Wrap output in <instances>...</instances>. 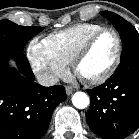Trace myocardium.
I'll return each mask as SVG.
<instances>
[{
  "mask_svg": "<svg viewBox=\"0 0 139 139\" xmlns=\"http://www.w3.org/2000/svg\"><path fill=\"white\" fill-rule=\"evenodd\" d=\"M110 32L114 35L116 39V53L114 56V59L109 66V68L100 76L86 79L80 76L78 72V66L81 62V60L86 56V54L90 51L95 41L104 33ZM122 52H123V43L120 34L117 30H115L112 27H102L101 29L94 32L92 35H90L86 41L81 45V47L78 49L76 54L73 57L72 60V67L74 72L84 81H86L89 84L92 85H98L106 82L108 79L112 77V75L116 72L117 68L119 67V64L121 62L122 58Z\"/></svg>",
  "mask_w": 139,
  "mask_h": 139,
  "instance_id": "f54148a6",
  "label": "myocardium"
}]
</instances>
